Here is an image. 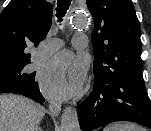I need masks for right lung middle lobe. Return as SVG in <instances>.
<instances>
[{"label":"right lung middle lobe","instance_id":"dd1d6c3e","mask_svg":"<svg viewBox=\"0 0 151 131\" xmlns=\"http://www.w3.org/2000/svg\"><path fill=\"white\" fill-rule=\"evenodd\" d=\"M30 63L25 57H4L0 56V78H4L7 83H19L34 74L26 73L24 67Z\"/></svg>","mask_w":151,"mask_h":131}]
</instances>
